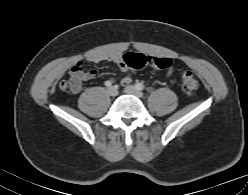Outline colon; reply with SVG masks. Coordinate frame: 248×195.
<instances>
[{"instance_id":"colon-1","label":"colon","mask_w":248,"mask_h":195,"mask_svg":"<svg viewBox=\"0 0 248 195\" xmlns=\"http://www.w3.org/2000/svg\"><path fill=\"white\" fill-rule=\"evenodd\" d=\"M120 59L123 66L132 69H139L146 65H151L157 69H168L172 64V61L166 57L146 56L140 53L132 52L121 55ZM83 71L84 69H81L80 65H77L75 68L71 69L68 78L60 83V89L63 91H78L81 88L83 81ZM182 89L184 93L189 96L197 92L198 80L191 71H186L182 75Z\"/></svg>"}]
</instances>
